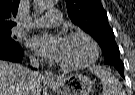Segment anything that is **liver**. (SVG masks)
Instances as JSON below:
<instances>
[{"mask_svg":"<svg viewBox=\"0 0 135 95\" xmlns=\"http://www.w3.org/2000/svg\"><path fill=\"white\" fill-rule=\"evenodd\" d=\"M26 72L27 69L21 65L0 60V95H40L41 76L38 74L30 84Z\"/></svg>","mask_w":135,"mask_h":95,"instance_id":"obj_1","label":"liver"}]
</instances>
